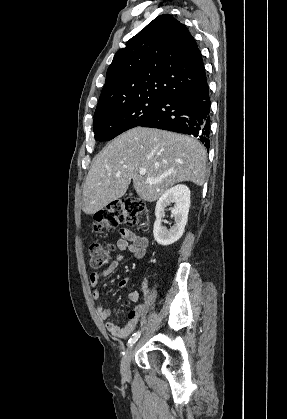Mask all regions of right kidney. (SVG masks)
<instances>
[{"label":"right kidney","mask_w":287,"mask_h":419,"mask_svg":"<svg viewBox=\"0 0 287 419\" xmlns=\"http://www.w3.org/2000/svg\"><path fill=\"white\" fill-rule=\"evenodd\" d=\"M174 204L171 213L175 223L168 230L162 225L165 217V208ZM190 207V190L186 185H176L168 189L157 201L155 208L156 221L154 223L153 235L158 244L168 246L181 238L188 220Z\"/></svg>","instance_id":"obj_1"}]
</instances>
